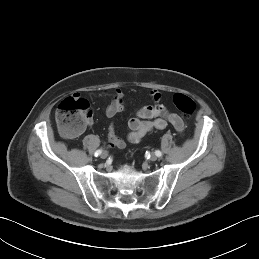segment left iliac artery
Masks as SVG:
<instances>
[{"label": "left iliac artery", "mask_w": 259, "mask_h": 259, "mask_svg": "<svg viewBox=\"0 0 259 259\" xmlns=\"http://www.w3.org/2000/svg\"><path fill=\"white\" fill-rule=\"evenodd\" d=\"M155 154H156L158 157H161V156H162V153H161V151H159V150H156V151H155Z\"/></svg>", "instance_id": "left-iliac-artery-1"}]
</instances>
